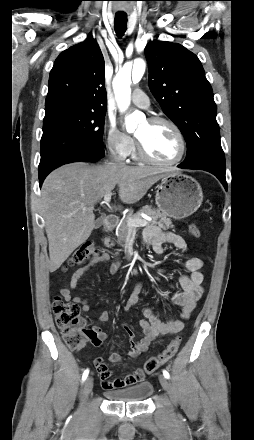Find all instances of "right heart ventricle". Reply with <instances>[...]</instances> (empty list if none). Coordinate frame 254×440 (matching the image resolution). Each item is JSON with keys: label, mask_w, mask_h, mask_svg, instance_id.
I'll list each match as a JSON object with an SVG mask.
<instances>
[{"label": "right heart ventricle", "mask_w": 254, "mask_h": 440, "mask_svg": "<svg viewBox=\"0 0 254 440\" xmlns=\"http://www.w3.org/2000/svg\"><path fill=\"white\" fill-rule=\"evenodd\" d=\"M133 157L136 159L138 158L136 152H133Z\"/></svg>", "instance_id": "e07e8e85"}]
</instances>
